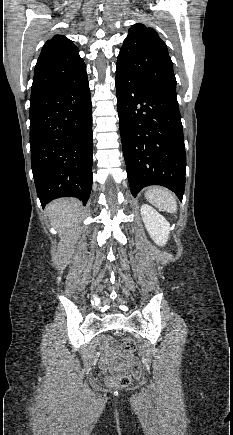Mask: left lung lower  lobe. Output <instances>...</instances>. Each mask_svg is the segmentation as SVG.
<instances>
[{"mask_svg":"<svg viewBox=\"0 0 233 435\" xmlns=\"http://www.w3.org/2000/svg\"><path fill=\"white\" fill-rule=\"evenodd\" d=\"M115 85L132 195L146 186L161 185L182 200L186 154L177 96L151 89L117 65Z\"/></svg>","mask_w":233,"mask_h":435,"instance_id":"obj_1","label":"left lung lower lobe"}]
</instances>
